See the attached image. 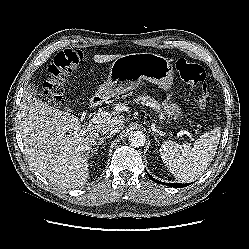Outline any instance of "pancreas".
I'll return each instance as SVG.
<instances>
[{
    "instance_id": "1",
    "label": "pancreas",
    "mask_w": 249,
    "mask_h": 249,
    "mask_svg": "<svg viewBox=\"0 0 249 249\" xmlns=\"http://www.w3.org/2000/svg\"><path fill=\"white\" fill-rule=\"evenodd\" d=\"M136 102H141V104H143V105H153V107L155 108V110L157 112L160 111V105L154 99H152L150 96H139L136 99ZM160 119H163L162 115H161Z\"/></svg>"
}]
</instances>
